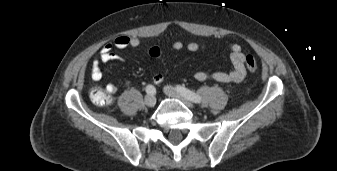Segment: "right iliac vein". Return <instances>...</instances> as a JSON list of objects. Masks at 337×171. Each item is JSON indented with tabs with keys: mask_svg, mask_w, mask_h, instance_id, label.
Returning a JSON list of instances; mask_svg holds the SVG:
<instances>
[{
	"mask_svg": "<svg viewBox=\"0 0 337 171\" xmlns=\"http://www.w3.org/2000/svg\"><path fill=\"white\" fill-rule=\"evenodd\" d=\"M145 104L148 107H153L156 104V97L152 94H149L145 97Z\"/></svg>",
	"mask_w": 337,
	"mask_h": 171,
	"instance_id": "right-iliac-vein-1",
	"label": "right iliac vein"
}]
</instances>
